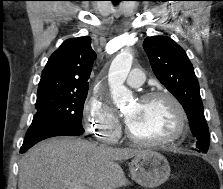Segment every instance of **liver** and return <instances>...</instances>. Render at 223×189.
Instances as JSON below:
<instances>
[{"instance_id": "liver-1", "label": "liver", "mask_w": 223, "mask_h": 189, "mask_svg": "<svg viewBox=\"0 0 223 189\" xmlns=\"http://www.w3.org/2000/svg\"><path fill=\"white\" fill-rule=\"evenodd\" d=\"M141 149L96 146L79 138L58 137L42 141L19 162V189H68L67 183L88 189H115L127 184L116 162Z\"/></svg>"}]
</instances>
